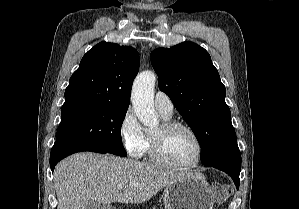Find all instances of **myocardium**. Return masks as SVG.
<instances>
[{
  "mask_svg": "<svg viewBox=\"0 0 299 209\" xmlns=\"http://www.w3.org/2000/svg\"><path fill=\"white\" fill-rule=\"evenodd\" d=\"M162 127V134L161 135H154L151 134L150 137V156L151 158L158 164L172 168V169H179V170H188L195 168L201 161L202 156H203V144L198 136V134L195 132L194 129H192L190 126L178 122V121H171V120H166L161 124ZM176 130H184L188 132L194 141L196 142L197 145V154L195 159L188 164H177L172 161H170L164 153V143H165V138L166 135L176 131Z\"/></svg>",
  "mask_w": 299,
  "mask_h": 209,
  "instance_id": "myocardium-1",
  "label": "myocardium"
}]
</instances>
